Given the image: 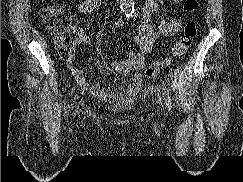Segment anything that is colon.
<instances>
[{
    "label": "colon",
    "instance_id": "5ec220e1",
    "mask_svg": "<svg viewBox=\"0 0 243 182\" xmlns=\"http://www.w3.org/2000/svg\"><path fill=\"white\" fill-rule=\"evenodd\" d=\"M199 6L198 0H185L184 10L193 14ZM40 16L50 34L53 36L54 44L59 55L68 60L74 58L77 49L76 31L70 24V11L62 4H51L40 11ZM197 33V26L194 21H188L182 34L174 45L170 55L165 59L148 66L144 75L151 79L161 73L170 63L177 58L184 56L189 50Z\"/></svg>",
    "mask_w": 243,
    "mask_h": 182
}]
</instances>
